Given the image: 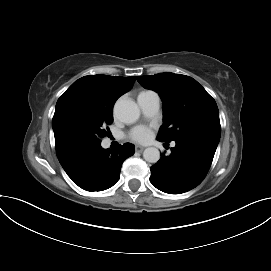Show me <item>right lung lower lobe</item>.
<instances>
[{
    "label": "right lung lower lobe",
    "mask_w": 271,
    "mask_h": 271,
    "mask_svg": "<svg viewBox=\"0 0 271 271\" xmlns=\"http://www.w3.org/2000/svg\"><path fill=\"white\" fill-rule=\"evenodd\" d=\"M135 148L130 143L116 149H103L101 145L76 151L61 163L75 184L93 192L108 189L120 178L125 159L132 156Z\"/></svg>",
    "instance_id": "right-lung-lower-lobe-1"
}]
</instances>
